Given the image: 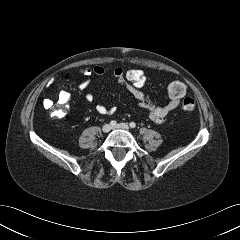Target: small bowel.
Segmentation results:
<instances>
[{
	"label": "small bowel",
	"mask_w": 240,
	"mask_h": 240,
	"mask_svg": "<svg viewBox=\"0 0 240 240\" xmlns=\"http://www.w3.org/2000/svg\"><path fill=\"white\" fill-rule=\"evenodd\" d=\"M79 73L84 77V79L79 83L78 89L80 91H85L90 86L93 77H101L105 73V69L102 65H95L94 67H82L79 69ZM112 76L114 80L137 102V104L148 111V115L151 121L156 124L164 123L170 112L177 109L181 103L180 99H170L165 105L155 104L148 96H146L141 90L132 87L125 78V70L117 66L112 71ZM59 97L68 103L70 100V94L66 91H62ZM85 99L88 102L94 100V95L92 92H87L85 94ZM53 102L51 99H44L43 106L46 109L51 108ZM96 111L102 115H112L116 112V107H106L102 104H97L95 106Z\"/></svg>",
	"instance_id": "1"
}]
</instances>
